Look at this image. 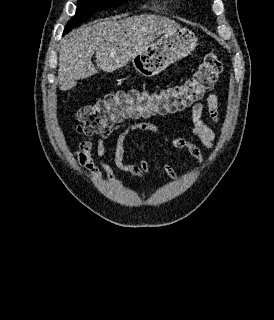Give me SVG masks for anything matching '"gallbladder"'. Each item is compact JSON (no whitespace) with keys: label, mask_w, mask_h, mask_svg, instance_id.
<instances>
[{"label":"gallbladder","mask_w":274,"mask_h":320,"mask_svg":"<svg viewBox=\"0 0 274 320\" xmlns=\"http://www.w3.org/2000/svg\"><path fill=\"white\" fill-rule=\"evenodd\" d=\"M69 83H70L71 85H74V84L76 83V80H75L74 78H71V79L69 80Z\"/></svg>","instance_id":"obj_1"}]
</instances>
